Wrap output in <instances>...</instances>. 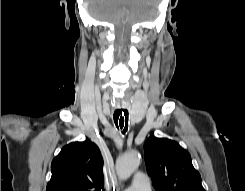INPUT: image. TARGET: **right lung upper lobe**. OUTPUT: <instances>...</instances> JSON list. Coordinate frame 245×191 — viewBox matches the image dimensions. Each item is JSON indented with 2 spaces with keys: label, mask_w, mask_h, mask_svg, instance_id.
Wrapping results in <instances>:
<instances>
[{
  "label": "right lung upper lobe",
  "mask_w": 245,
  "mask_h": 191,
  "mask_svg": "<svg viewBox=\"0 0 245 191\" xmlns=\"http://www.w3.org/2000/svg\"><path fill=\"white\" fill-rule=\"evenodd\" d=\"M46 191H104L102 157L90 142H74L62 148L51 164Z\"/></svg>",
  "instance_id": "right-lung-upper-lobe-1"
}]
</instances>
